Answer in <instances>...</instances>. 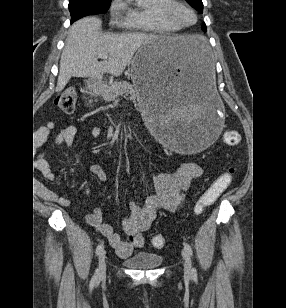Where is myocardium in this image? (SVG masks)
<instances>
[{
	"label": "myocardium",
	"mask_w": 286,
	"mask_h": 308,
	"mask_svg": "<svg viewBox=\"0 0 286 308\" xmlns=\"http://www.w3.org/2000/svg\"><path fill=\"white\" fill-rule=\"evenodd\" d=\"M180 9H186L188 11H190L194 17L195 20L193 23L191 24H186L184 22L181 21V19L179 18V10ZM161 14L168 19L169 21L177 24L179 27L181 28H187V27H191L193 25H195L198 21V15L196 13V11L189 6L188 4L184 3L183 1L180 0H169V2L164 5L161 8Z\"/></svg>",
	"instance_id": "f54148a6"
}]
</instances>
